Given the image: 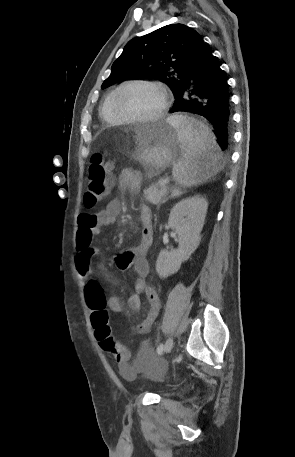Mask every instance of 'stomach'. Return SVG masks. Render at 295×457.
Listing matches in <instances>:
<instances>
[{
  "label": "stomach",
  "mask_w": 295,
  "mask_h": 457,
  "mask_svg": "<svg viewBox=\"0 0 295 457\" xmlns=\"http://www.w3.org/2000/svg\"><path fill=\"white\" fill-rule=\"evenodd\" d=\"M179 143L176 128L163 120L138 133L132 156L154 176L177 161Z\"/></svg>",
  "instance_id": "stomach-1"
}]
</instances>
